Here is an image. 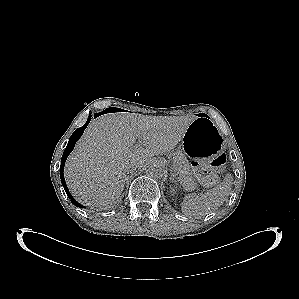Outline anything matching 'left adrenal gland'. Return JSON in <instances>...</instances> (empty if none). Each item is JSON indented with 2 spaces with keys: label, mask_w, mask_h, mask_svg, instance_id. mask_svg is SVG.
<instances>
[{
  "label": "left adrenal gland",
  "mask_w": 299,
  "mask_h": 299,
  "mask_svg": "<svg viewBox=\"0 0 299 299\" xmlns=\"http://www.w3.org/2000/svg\"><path fill=\"white\" fill-rule=\"evenodd\" d=\"M175 178L177 179V177H176L175 174L173 173V170H171V177H170V180H172V182H173Z\"/></svg>",
  "instance_id": "obj_1"
}]
</instances>
